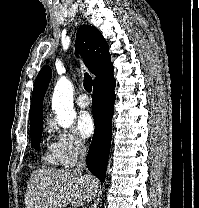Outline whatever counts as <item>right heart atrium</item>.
Listing matches in <instances>:
<instances>
[{
  "instance_id": "obj_1",
  "label": "right heart atrium",
  "mask_w": 199,
  "mask_h": 208,
  "mask_svg": "<svg viewBox=\"0 0 199 208\" xmlns=\"http://www.w3.org/2000/svg\"><path fill=\"white\" fill-rule=\"evenodd\" d=\"M50 128L56 132L53 149L63 166H72L86 153V145L81 138L72 136L67 131L58 129L54 123Z\"/></svg>"
}]
</instances>
